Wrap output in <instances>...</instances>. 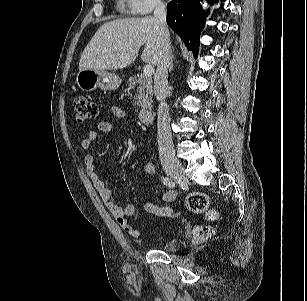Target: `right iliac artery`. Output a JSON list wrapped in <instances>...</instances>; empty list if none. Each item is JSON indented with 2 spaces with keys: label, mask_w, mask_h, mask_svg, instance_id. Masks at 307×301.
I'll use <instances>...</instances> for the list:
<instances>
[{
  "label": "right iliac artery",
  "mask_w": 307,
  "mask_h": 301,
  "mask_svg": "<svg viewBox=\"0 0 307 301\" xmlns=\"http://www.w3.org/2000/svg\"><path fill=\"white\" fill-rule=\"evenodd\" d=\"M162 180H163V183L166 186H168L170 188L175 187V182L172 179H170L169 177H162Z\"/></svg>",
  "instance_id": "right-iliac-artery-1"
}]
</instances>
